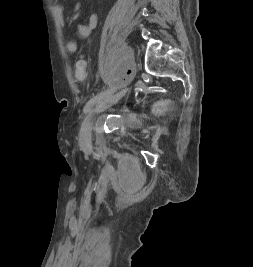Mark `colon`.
Segmentation results:
<instances>
[{"label":"colon","mask_w":253,"mask_h":267,"mask_svg":"<svg viewBox=\"0 0 253 267\" xmlns=\"http://www.w3.org/2000/svg\"><path fill=\"white\" fill-rule=\"evenodd\" d=\"M75 77L78 80H84L87 77V65L84 60H78L75 65ZM166 103L160 104V108H165Z\"/></svg>","instance_id":"5ec220e1"}]
</instances>
